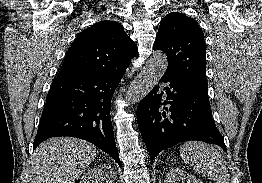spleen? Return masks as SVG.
Segmentation results:
<instances>
[{
    "mask_svg": "<svg viewBox=\"0 0 262 183\" xmlns=\"http://www.w3.org/2000/svg\"><path fill=\"white\" fill-rule=\"evenodd\" d=\"M180 157L199 174L215 183H229L226 161L215 147L203 142H186L180 148Z\"/></svg>",
    "mask_w": 262,
    "mask_h": 183,
    "instance_id": "1",
    "label": "spleen"
}]
</instances>
